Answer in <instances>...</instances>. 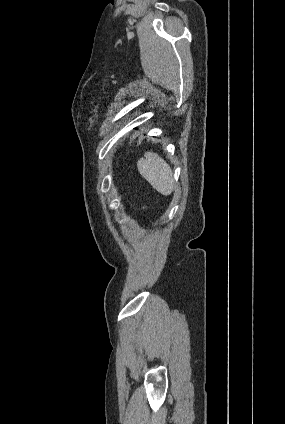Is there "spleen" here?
Segmentation results:
<instances>
[{"instance_id":"obj_1","label":"spleen","mask_w":285,"mask_h":424,"mask_svg":"<svg viewBox=\"0 0 285 424\" xmlns=\"http://www.w3.org/2000/svg\"><path fill=\"white\" fill-rule=\"evenodd\" d=\"M137 167L157 192L165 196L172 193L175 186L172 169L157 153L146 152L144 158L138 160Z\"/></svg>"}]
</instances>
